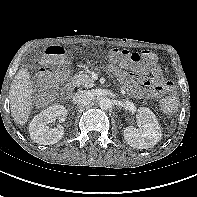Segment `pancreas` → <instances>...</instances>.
<instances>
[{"label":"pancreas","instance_id":"cf45deb5","mask_svg":"<svg viewBox=\"0 0 197 197\" xmlns=\"http://www.w3.org/2000/svg\"><path fill=\"white\" fill-rule=\"evenodd\" d=\"M71 87H85V88H91L95 86V82L90 78V76L87 73H80L76 74L70 83Z\"/></svg>","mask_w":197,"mask_h":197}]
</instances>
